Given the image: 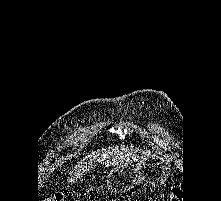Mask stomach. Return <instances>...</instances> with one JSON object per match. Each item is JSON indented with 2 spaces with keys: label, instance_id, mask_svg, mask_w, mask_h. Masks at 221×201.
<instances>
[{
  "label": "stomach",
  "instance_id": "stomach-1",
  "mask_svg": "<svg viewBox=\"0 0 221 201\" xmlns=\"http://www.w3.org/2000/svg\"><path fill=\"white\" fill-rule=\"evenodd\" d=\"M172 171V160L167 157L147 156L136 164L113 167L106 176V187L114 194H123L142 184L155 187L163 184Z\"/></svg>",
  "mask_w": 221,
  "mask_h": 201
}]
</instances>
